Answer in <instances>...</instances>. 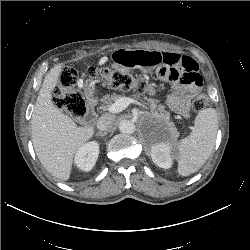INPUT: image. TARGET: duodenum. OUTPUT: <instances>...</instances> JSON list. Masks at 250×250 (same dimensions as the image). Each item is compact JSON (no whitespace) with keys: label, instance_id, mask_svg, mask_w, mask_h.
<instances>
[{"label":"duodenum","instance_id":"410a0bca","mask_svg":"<svg viewBox=\"0 0 250 250\" xmlns=\"http://www.w3.org/2000/svg\"><path fill=\"white\" fill-rule=\"evenodd\" d=\"M94 108H95V100L93 98L87 99L85 113H89V116L91 117L92 114L94 113Z\"/></svg>","mask_w":250,"mask_h":250}]
</instances>
